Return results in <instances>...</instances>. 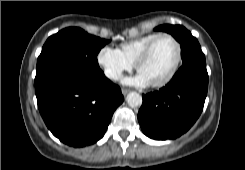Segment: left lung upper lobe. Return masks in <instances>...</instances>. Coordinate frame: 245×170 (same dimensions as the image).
<instances>
[{
  "label": "left lung upper lobe",
  "instance_id": "obj_1",
  "mask_svg": "<svg viewBox=\"0 0 245 170\" xmlns=\"http://www.w3.org/2000/svg\"><path fill=\"white\" fill-rule=\"evenodd\" d=\"M156 31L170 33L181 43V57L183 64L206 65L205 56L201 50L198 40L181 25H161L155 28Z\"/></svg>",
  "mask_w": 245,
  "mask_h": 170
}]
</instances>
